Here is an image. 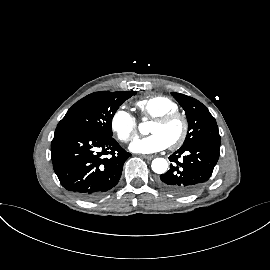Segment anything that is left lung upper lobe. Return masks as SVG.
<instances>
[{"instance_id": "obj_1", "label": "left lung upper lobe", "mask_w": 270, "mask_h": 270, "mask_svg": "<svg viewBox=\"0 0 270 270\" xmlns=\"http://www.w3.org/2000/svg\"><path fill=\"white\" fill-rule=\"evenodd\" d=\"M172 96L184 109L188 121V133L182 147L195 143H212L220 145V135L214 117L206 106L187 95L172 92Z\"/></svg>"}]
</instances>
